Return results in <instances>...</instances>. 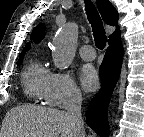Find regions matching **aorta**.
Returning a JSON list of instances; mask_svg holds the SVG:
<instances>
[{"label":"aorta","mask_w":144,"mask_h":137,"mask_svg":"<svg viewBox=\"0 0 144 137\" xmlns=\"http://www.w3.org/2000/svg\"><path fill=\"white\" fill-rule=\"evenodd\" d=\"M78 40V26L68 23L53 40L52 58L56 67L64 69L73 62Z\"/></svg>","instance_id":"obj_1"}]
</instances>
